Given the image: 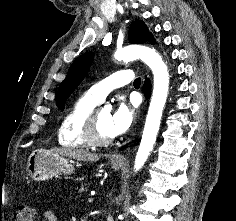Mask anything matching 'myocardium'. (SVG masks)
<instances>
[{"instance_id":"1","label":"myocardium","mask_w":236,"mask_h":221,"mask_svg":"<svg viewBox=\"0 0 236 221\" xmlns=\"http://www.w3.org/2000/svg\"><path fill=\"white\" fill-rule=\"evenodd\" d=\"M100 109L94 108L86 118L83 126V136L92 146H105L110 144L114 137H102L98 130V112Z\"/></svg>"}]
</instances>
